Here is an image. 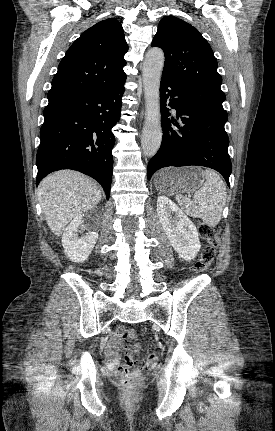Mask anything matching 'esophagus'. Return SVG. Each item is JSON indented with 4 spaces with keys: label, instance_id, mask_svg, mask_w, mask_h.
I'll use <instances>...</instances> for the list:
<instances>
[{
    "label": "esophagus",
    "instance_id": "1",
    "mask_svg": "<svg viewBox=\"0 0 275 431\" xmlns=\"http://www.w3.org/2000/svg\"><path fill=\"white\" fill-rule=\"evenodd\" d=\"M143 115H144V111L142 110V112H141V117H143Z\"/></svg>",
    "mask_w": 275,
    "mask_h": 431
}]
</instances>
